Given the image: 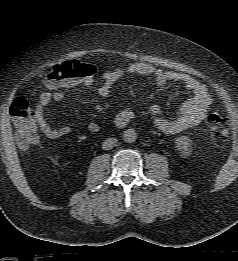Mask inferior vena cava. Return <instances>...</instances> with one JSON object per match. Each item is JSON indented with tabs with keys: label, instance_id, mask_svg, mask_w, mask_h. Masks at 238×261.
I'll return each mask as SVG.
<instances>
[{
	"label": "inferior vena cava",
	"instance_id": "inferior-vena-cava-1",
	"mask_svg": "<svg viewBox=\"0 0 238 261\" xmlns=\"http://www.w3.org/2000/svg\"><path fill=\"white\" fill-rule=\"evenodd\" d=\"M116 143H117V139L116 138H107L102 143V148L104 150L112 149L116 145Z\"/></svg>",
	"mask_w": 238,
	"mask_h": 261
}]
</instances>
